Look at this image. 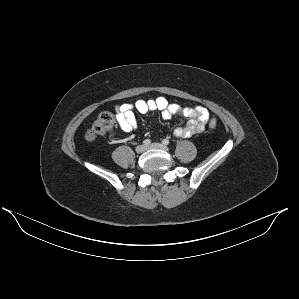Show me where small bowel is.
I'll return each mask as SVG.
<instances>
[{
	"label": "small bowel",
	"mask_w": 299,
	"mask_h": 299,
	"mask_svg": "<svg viewBox=\"0 0 299 299\" xmlns=\"http://www.w3.org/2000/svg\"><path fill=\"white\" fill-rule=\"evenodd\" d=\"M134 111L141 114L160 111L165 119L176 115L188 118L185 126L174 129V135L181 138H188L202 132L209 119V113L203 107H185L170 103L165 97L159 96L155 99H138L134 103L118 105L116 107V120L122 130L128 132L136 127Z\"/></svg>",
	"instance_id": "1"
}]
</instances>
